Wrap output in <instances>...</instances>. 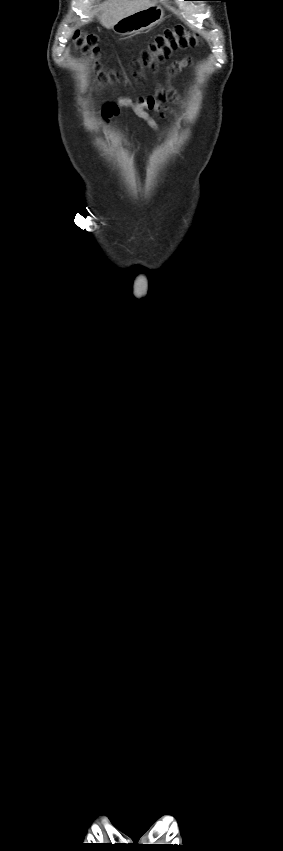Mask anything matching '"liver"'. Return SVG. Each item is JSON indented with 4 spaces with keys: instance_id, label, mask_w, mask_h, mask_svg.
I'll return each mask as SVG.
<instances>
[{
    "instance_id": "6515ba94",
    "label": "liver",
    "mask_w": 283,
    "mask_h": 851,
    "mask_svg": "<svg viewBox=\"0 0 283 851\" xmlns=\"http://www.w3.org/2000/svg\"><path fill=\"white\" fill-rule=\"evenodd\" d=\"M152 5H155V2L150 0H107L100 7L98 20L102 26L110 29L123 17Z\"/></svg>"
}]
</instances>
